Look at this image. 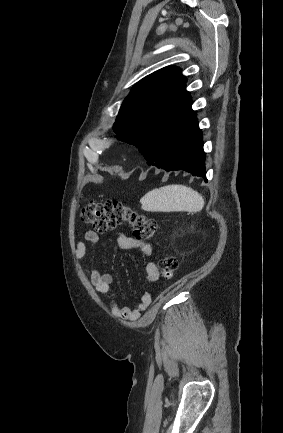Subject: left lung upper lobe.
<instances>
[{"label": "left lung upper lobe", "mask_w": 283, "mask_h": 433, "mask_svg": "<svg viewBox=\"0 0 283 433\" xmlns=\"http://www.w3.org/2000/svg\"><path fill=\"white\" fill-rule=\"evenodd\" d=\"M186 78L178 67H165L139 81L125 98L114 124L121 141L138 149L149 130L156 126L180 127L196 116Z\"/></svg>", "instance_id": "5c2ea615"}]
</instances>
